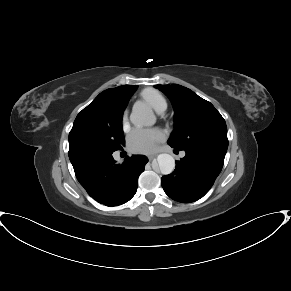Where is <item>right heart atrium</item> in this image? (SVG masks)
<instances>
[{
	"label": "right heart atrium",
	"mask_w": 291,
	"mask_h": 291,
	"mask_svg": "<svg viewBox=\"0 0 291 291\" xmlns=\"http://www.w3.org/2000/svg\"><path fill=\"white\" fill-rule=\"evenodd\" d=\"M121 125H122L123 130L126 131L128 129V113H127V111H125L124 114L122 115Z\"/></svg>",
	"instance_id": "1"
}]
</instances>
